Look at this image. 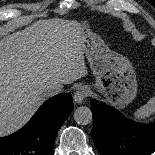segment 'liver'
<instances>
[{
	"mask_svg": "<svg viewBox=\"0 0 155 155\" xmlns=\"http://www.w3.org/2000/svg\"><path fill=\"white\" fill-rule=\"evenodd\" d=\"M80 23L34 22L0 40V137L21 128L47 98L50 84H69L87 75Z\"/></svg>",
	"mask_w": 155,
	"mask_h": 155,
	"instance_id": "1",
	"label": "liver"
}]
</instances>
